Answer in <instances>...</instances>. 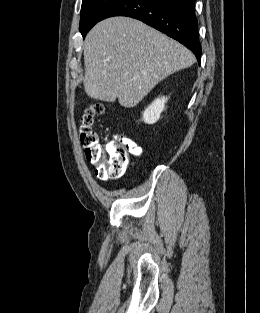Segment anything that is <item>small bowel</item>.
Masks as SVG:
<instances>
[{
  "label": "small bowel",
  "instance_id": "obj_1",
  "mask_svg": "<svg viewBox=\"0 0 260 313\" xmlns=\"http://www.w3.org/2000/svg\"><path fill=\"white\" fill-rule=\"evenodd\" d=\"M132 153H133L135 156H141V155H142V150H141V148H139V147H137L136 145L133 144Z\"/></svg>",
  "mask_w": 260,
  "mask_h": 313
}]
</instances>
